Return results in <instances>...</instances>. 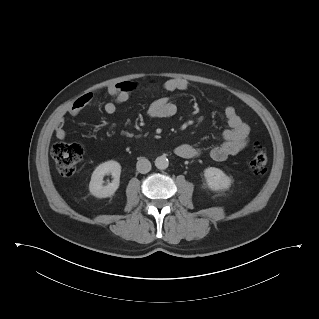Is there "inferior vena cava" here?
<instances>
[{"label":"inferior vena cava","mask_w":319,"mask_h":319,"mask_svg":"<svg viewBox=\"0 0 319 319\" xmlns=\"http://www.w3.org/2000/svg\"><path fill=\"white\" fill-rule=\"evenodd\" d=\"M136 169L139 173H148L151 170V163L148 159L141 158L137 161Z\"/></svg>","instance_id":"inferior-vena-cava-1"}]
</instances>
